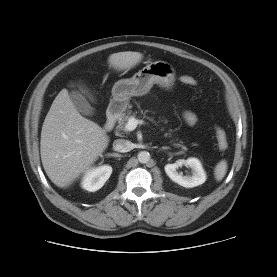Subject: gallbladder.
<instances>
[{"instance_id":"obj_1","label":"gallbladder","mask_w":277,"mask_h":277,"mask_svg":"<svg viewBox=\"0 0 277 277\" xmlns=\"http://www.w3.org/2000/svg\"><path fill=\"white\" fill-rule=\"evenodd\" d=\"M70 98L75 108L83 115L92 116L95 113V109L90 105L87 99L81 95L78 91H71Z\"/></svg>"}]
</instances>
